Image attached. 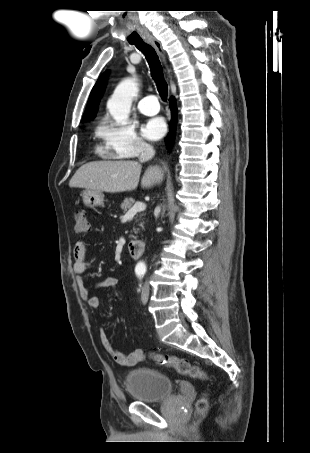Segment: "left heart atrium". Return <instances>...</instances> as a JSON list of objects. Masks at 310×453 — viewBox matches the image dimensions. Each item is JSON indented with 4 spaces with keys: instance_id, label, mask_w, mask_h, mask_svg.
<instances>
[{
    "instance_id": "1",
    "label": "left heart atrium",
    "mask_w": 310,
    "mask_h": 453,
    "mask_svg": "<svg viewBox=\"0 0 310 453\" xmlns=\"http://www.w3.org/2000/svg\"><path fill=\"white\" fill-rule=\"evenodd\" d=\"M166 132V123L163 118L157 117L148 120L142 127V134L149 140H158Z\"/></svg>"
}]
</instances>
